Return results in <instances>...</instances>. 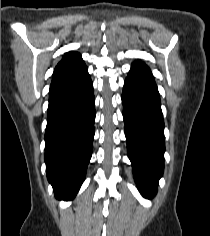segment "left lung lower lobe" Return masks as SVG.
I'll list each match as a JSON object with an SVG mask.
<instances>
[{"label": "left lung lower lobe", "mask_w": 210, "mask_h": 236, "mask_svg": "<svg viewBox=\"0 0 210 236\" xmlns=\"http://www.w3.org/2000/svg\"><path fill=\"white\" fill-rule=\"evenodd\" d=\"M122 103L134 178L141 194L151 198L164 169V121L157 86L144 63L132 64L124 83Z\"/></svg>", "instance_id": "0a47b994"}]
</instances>
